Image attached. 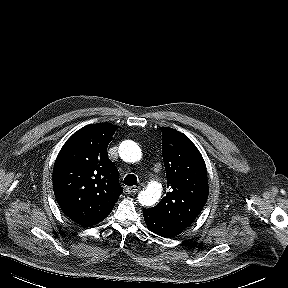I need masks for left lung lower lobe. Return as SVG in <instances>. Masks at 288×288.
I'll use <instances>...</instances> for the list:
<instances>
[{"instance_id": "left-lung-lower-lobe-1", "label": "left lung lower lobe", "mask_w": 288, "mask_h": 288, "mask_svg": "<svg viewBox=\"0 0 288 288\" xmlns=\"http://www.w3.org/2000/svg\"><path fill=\"white\" fill-rule=\"evenodd\" d=\"M143 215L148 228L159 236L170 238L180 234L184 230L153 215L149 209H143Z\"/></svg>"}]
</instances>
